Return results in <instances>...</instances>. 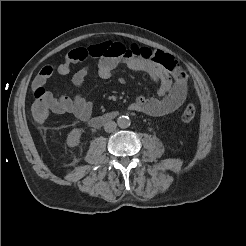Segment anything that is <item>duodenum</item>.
Returning a JSON list of instances; mask_svg holds the SVG:
<instances>
[{
  "label": "duodenum",
  "mask_w": 246,
  "mask_h": 246,
  "mask_svg": "<svg viewBox=\"0 0 246 246\" xmlns=\"http://www.w3.org/2000/svg\"><path fill=\"white\" fill-rule=\"evenodd\" d=\"M117 115H118V114H117L116 112L105 113V114H103V115L93 117V118L90 120V124H91L93 127H100V126H102L104 123L113 120L115 117H117Z\"/></svg>",
  "instance_id": "obj_1"
}]
</instances>
